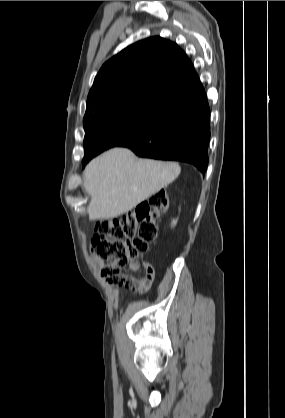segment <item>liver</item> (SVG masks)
<instances>
[{"instance_id": "1", "label": "liver", "mask_w": 285, "mask_h": 418, "mask_svg": "<svg viewBox=\"0 0 285 418\" xmlns=\"http://www.w3.org/2000/svg\"><path fill=\"white\" fill-rule=\"evenodd\" d=\"M178 163L137 159L126 148H113L94 158L84 170V189L91 200V220L120 216L174 181Z\"/></svg>"}]
</instances>
